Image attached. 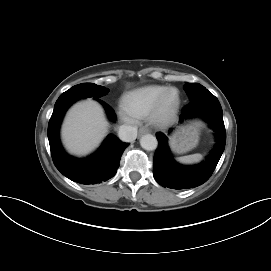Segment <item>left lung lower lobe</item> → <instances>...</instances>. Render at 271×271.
I'll list each match as a JSON object with an SVG mask.
<instances>
[{
    "mask_svg": "<svg viewBox=\"0 0 271 271\" xmlns=\"http://www.w3.org/2000/svg\"><path fill=\"white\" fill-rule=\"evenodd\" d=\"M194 116L202 117L213 128L216 135V146L205 161L199 165L183 166L172 158L168 148L167 136L161 132L157 133L159 146L154 155L153 176L163 187L187 189L202 185L215 170L224 151L226 132L223 112L218 99L213 94H209L191 100L183 109L180 121Z\"/></svg>",
    "mask_w": 271,
    "mask_h": 271,
    "instance_id": "left-lung-lower-lobe-1",
    "label": "left lung lower lobe"
}]
</instances>
